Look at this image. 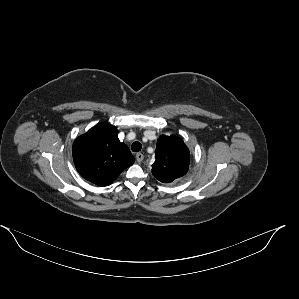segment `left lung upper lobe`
<instances>
[{
    "label": "left lung upper lobe",
    "mask_w": 299,
    "mask_h": 299,
    "mask_svg": "<svg viewBox=\"0 0 299 299\" xmlns=\"http://www.w3.org/2000/svg\"><path fill=\"white\" fill-rule=\"evenodd\" d=\"M152 174L160 182L170 183L184 176L189 168L190 154L183 140L175 135L159 137Z\"/></svg>",
    "instance_id": "5c2ea615"
}]
</instances>
